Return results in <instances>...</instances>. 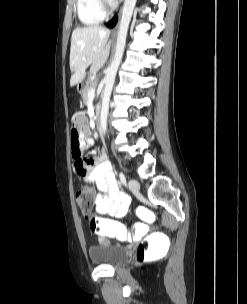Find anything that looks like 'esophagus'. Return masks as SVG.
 <instances>
[{"label": "esophagus", "mask_w": 247, "mask_h": 304, "mask_svg": "<svg viewBox=\"0 0 247 304\" xmlns=\"http://www.w3.org/2000/svg\"><path fill=\"white\" fill-rule=\"evenodd\" d=\"M118 16H120V12L118 13ZM117 26H115L113 29H112V35L115 36L117 34Z\"/></svg>", "instance_id": "1"}]
</instances>
